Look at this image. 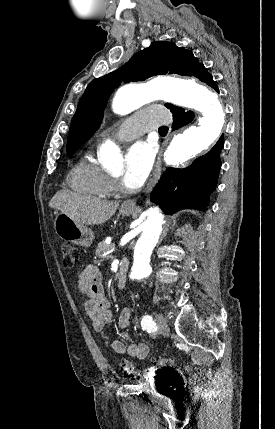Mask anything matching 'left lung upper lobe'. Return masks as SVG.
<instances>
[{"mask_svg":"<svg viewBox=\"0 0 275 429\" xmlns=\"http://www.w3.org/2000/svg\"><path fill=\"white\" fill-rule=\"evenodd\" d=\"M204 65L193 53L173 42H153L150 47L136 53L125 65L103 77L94 79L81 97L72 118L67 153L72 155L98 129L105 103L111 92L122 81H143L160 74H179L197 77ZM170 110L172 104H165Z\"/></svg>","mask_w":275,"mask_h":429,"instance_id":"5c2ea615","label":"left lung upper lobe"}]
</instances>
